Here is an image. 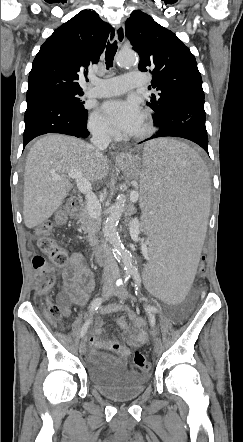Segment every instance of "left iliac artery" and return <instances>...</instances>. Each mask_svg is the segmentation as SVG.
I'll list each match as a JSON object with an SVG mask.
<instances>
[{
  "label": "left iliac artery",
  "instance_id": "obj_1",
  "mask_svg": "<svg viewBox=\"0 0 243 442\" xmlns=\"http://www.w3.org/2000/svg\"><path fill=\"white\" fill-rule=\"evenodd\" d=\"M132 275H133V277H134V279L135 280H137V278H138V276H139V274H138V272L137 271H133L132 272ZM136 291H135V293H136V295L138 294V291H139V286H140V284H139V282H138V280L136 281ZM145 310L147 311V313L149 314V316L150 317H152L154 314H156V313H158L159 312V310H158V308L157 307H155V306H151V305H145Z\"/></svg>",
  "mask_w": 243,
  "mask_h": 442
}]
</instances>
